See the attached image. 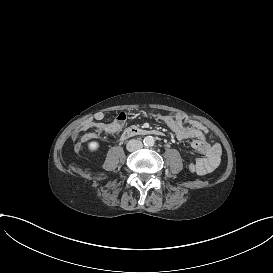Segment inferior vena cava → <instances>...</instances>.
Segmentation results:
<instances>
[{
    "instance_id": "inferior-vena-cava-1",
    "label": "inferior vena cava",
    "mask_w": 273,
    "mask_h": 273,
    "mask_svg": "<svg viewBox=\"0 0 273 273\" xmlns=\"http://www.w3.org/2000/svg\"><path fill=\"white\" fill-rule=\"evenodd\" d=\"M143 147V144L141 141L136 140V139H131L128 143H127V150L130 152L139 150Z\"/></svg>"
}]
</instances>
